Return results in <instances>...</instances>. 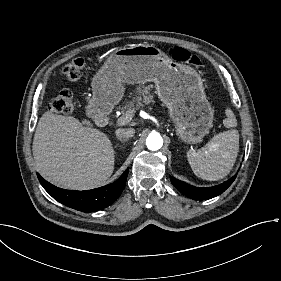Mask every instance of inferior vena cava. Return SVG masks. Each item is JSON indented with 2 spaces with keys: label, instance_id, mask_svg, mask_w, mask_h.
<instances>
[{
  "label": "inferior vena cava",
  "instance_id": "inferior-vena-cava-1",
  "mask_svg": "<svg viewBox=\"0 0 281 281\" xmlns=\"http://www.w3.org/2000/svg\"><path fill=\"white\" fill-rule=\"evenodd\" d=\"M133 133V129H121L117 131V136H119L120 138H128L132 137Z\"/></svg>",
  "mask_w": 281,
  "mask_h": 281
}]
</instances>
